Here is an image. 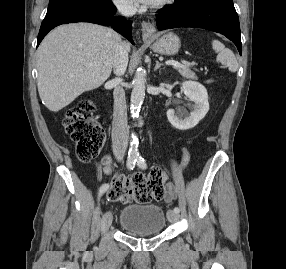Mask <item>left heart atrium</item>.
I'll list each match as a JSON object with an SVG mask.
<instances>
[{"mask_svg": "<svg viewBox=\"0 0 286 269\" xmlns=\"http://www.w3.org/2000/svg\"><path fill=\"white\" fill-rule=\"evenodd\" d=\"M131 2L135 3V4H141V5H152L156 2V0H130Z\"/></svg>", "mask_w": 286, "mask_h": 269, "instance_id": "1", "label": "left heart atrium"}]
</instances>
